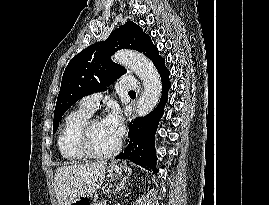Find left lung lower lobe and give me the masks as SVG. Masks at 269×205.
I'll return each mask as SVG.
<instances>
[{
	"mask_svg": "<svg viewBox=\"0 0 269 205\" xmlns=\"http://www.w3.org/2000/svg\"><path fill=\"white\" fill-rule=\"evenodd\" d=\"M160 73L162 80V98L153 112L145 117L136 118L130 123V141L124 152L120 153L116 159L130 160L143 168L158 172L155 167L157 157L155 153V132L164 113V106L167 101V93L170 89L169 70L165 67L164 58H160L154 64Z\"/></svg>",
	"mask_w": 269,
	"mask_h": 205,
	"instance_id": "obj_1",
	"label": "left lung lower lobe"
}]
</instances>
